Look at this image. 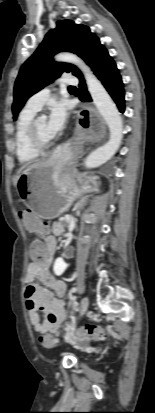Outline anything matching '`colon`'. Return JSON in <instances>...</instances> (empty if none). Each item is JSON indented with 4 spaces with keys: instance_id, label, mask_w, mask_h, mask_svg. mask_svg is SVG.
I'll return each mask as SVG.
<instances>
[{
    "instance_id": "5ec220e1",
    "label": "colon",
    "mask_w": 155,
    "mask_h": 413,
    "mask_svg": "<svg viewBox=\"0 0 155 413\" xmlns=\"http://www.w3.org/2000/svg\"><path fill=\"white\" fill-rule=\"evenodd\" d=\"M46 257V247L41 241H35L30 248V258L35 262L41 263ZM108 337V333L101 327L85 326L83 330L77 334V342L79 344H84L89 340L104 341L108 339ZM40 342L45 347H51L54 345L55 340L50 334H44L40 337Z\"/></svg>"
}]
</instances>
